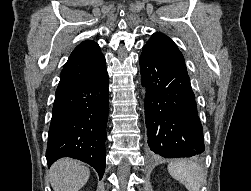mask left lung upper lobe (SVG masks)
<instances>
[{
	"label": "left lung upper lobe",
	"mask_w": 251,
	"mask_h": 191,
	"mask_svg": "<svg viewBox=\"0 0 251 191\" xmlns=\"http://www.w3.org/2000/svg\"><path fill=\"white\" fill-rule=\"evenodd\" d=\"M143 51L154 54L161 61L187 71L184 57L175 43L162 33H154L143 47Z\"/></svg>",
	"instance_id": "obj_1"
}]
</instances>
